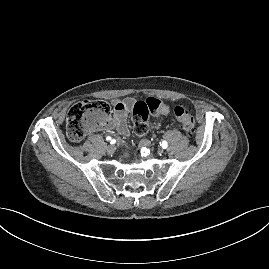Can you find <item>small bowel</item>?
<instances>
[{"instance_id":"c3829d8e","label":"small bowel","mask_w":269,"mask_h":269,"mask_svg":"<svg viewBox=\"0 0 269 269\" xmlns=\"http://www.w3.org/2000/svg\"><path fill=\"white\" fill-rule=\"evenodd\" d=\"M135 99L127 97L123 100H114L113 114L100 126L106 131L116 130L121 136H129V127L127 124V114L133 108Z\"/></svg>"}]
</instances>
